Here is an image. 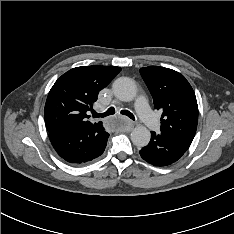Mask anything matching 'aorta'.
Listing matches in <instances>:
<instances>
[{
    "label": "aorta",
    "instance_id": "obj_1",
    "mask_svg": "<svg viewBox=\"0 0 234 234\" xmlns=\"http://www.w3.org/2000/svg\"><path fill=\"white\" fill-rule=\"evenodd\" d=\"M114 95L121 101L129 102L136 97V85L132 79L120 77L116 79L112 86ZM150 131L142 125L136 126L131 133V140L137 147H144L150 141Z\"/></svg>",
    "mask_w": 234,
    "mask_h": 234
}]
</instances>
